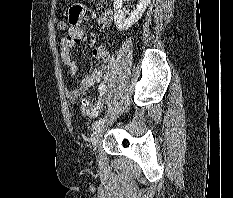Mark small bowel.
<instances>
[{"label": "small bowel", "mask_w": 233, "mask_h": 198, "mask_svg": "<svg viewBox=\"0 0 233 198\" xmlns=\"http://www.w3.org/2000/svg\"><path fill=\"white\" fill-rule=\"evenodd\" d=\"M84 16V6L81 4L73 5L68 12L70 27L67 29L66 35L61 39V62L68 69L69 75L72 77L76 76L78 73L77 64L72 57V49L77 44L85 42L87 39V34L82 28ZM112 20L113 12L109 8L104 9L97 17L98 24L102 26L111 24ZM92 53L93 57L101 64V67L86 73L78 87L68 92V100L71 103L77 102L83 93L90 87L98 84L105 70L112 63V55L104 45L96 47Z\"/></svg>", "instance_id": "c3829d8e"}]
</instances>
